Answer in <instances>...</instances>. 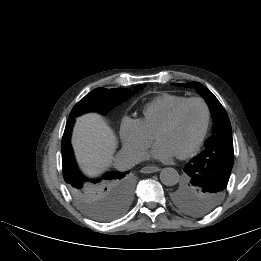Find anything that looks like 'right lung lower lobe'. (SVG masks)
<instances>
[{
    "mask_svg": "<svg viewBox=\"0 0 261 261\" xmlns=\"http://www.w3.org/2000/svg\"><path fill=\"white\" fill-rule=\"evenodd\" d=\"M73 123H74V118H69L66 123L65 131L63 134V138H62V165H63L64 173L79 172V170L76 166V162L74 160L73 151H72V147L70 144V137H71ZM124 175L125 174H123V173H108L103 178H110V177H117V176H124ZM83 179H84V181H88V180H86L85 177ZM90 181L96 182L99 180H90Z\"/></svg>",
    "mask_w": 261,
    "mask_h": 261,
    "instance_id": "right-lung-lower-lobe-1",
    "label": "right lung lower lobe"
}]
</instances>
